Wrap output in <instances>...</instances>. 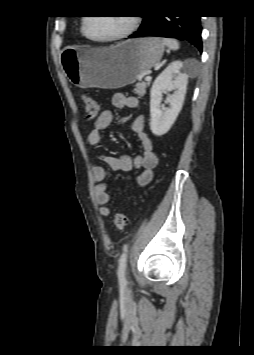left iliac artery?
I'll return each mask as SVG.
<instances>
[{
	"instance_id": "left-iliac-artery-1",
	"label": "left iliac artery",
	"mask_w": 254,
	"mask_h": 355,
	"mask_svg": "<svg viewBox=\"0 0 254 355\" xmlns=\"http://www.w3.org/2000/svg\"><path fill=\"white\" fill-rule=\"evenodd\" d=\"M126 262H127V249L123 251L119 259L118 278L121 285H126L127 283L125 278Z\"/></svg>"
}]
</instances>
